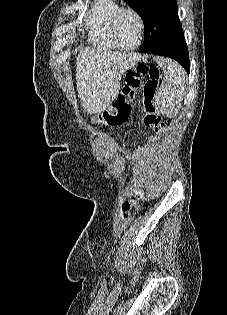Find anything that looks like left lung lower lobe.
Instances as JSON below:
<instances>
[{"label": "left lung lower lobe", "mask_w": 227, "mask_h": 315, "mask_svg": "<svg viewBox=\"0 0 227 315\" xmlns=\"http://www.w3.org/2000/svg\"><path fill=\"white\" fill-rule=\"evenodd\" d=\"M141 52L173 58L177 60L189 73L190 61L187 45L184 38L177 41L176 43L169 44L159 48L152 47L149 45H142Z\"/></svg>", "instance_id": "left-lung-lower-lobe-1"}]
</instances>
